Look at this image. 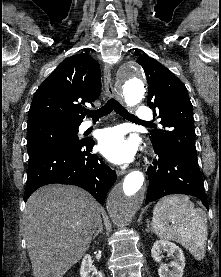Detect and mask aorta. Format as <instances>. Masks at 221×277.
<instances>
[{"mask_svg":"<svg viewBox=\"0 0 221 277\" xmlns=\"http://www.w3.org/2000/svg\"><path fill=\"white\" fill-rule=\"evenodd\" d=\"M118 84L127 105L130 107L137 105L146 91L143 69L136 64L123 66L118 74ZM144 180L141 171H132L109 193L107 211L118 228L128 227L142 204Z\"/></svg>","mask_w":221,"mask_h":277,"instance_id":"1","label":"aorta"}]
</instances>
